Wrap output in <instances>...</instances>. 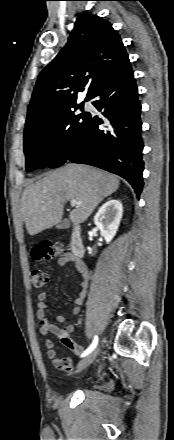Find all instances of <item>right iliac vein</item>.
<instances>
[{
  "instance_id": "63e3f726",
  "label": "right iliac vein",
  "mask_w": 174,
  "mask_h": 440,
  "mask_svg": "<svg viewBox=\"0 0 174 440\" xmlns=\"http://www.w3.org/2000/svg\"><path fill=\"white\" fill-rule=\"evenodd\" d=\"M98 353L99 348L97 347L78 363L76 372L79 373L86 369L96 359Z\"/></svg>"
}]
</instances>
